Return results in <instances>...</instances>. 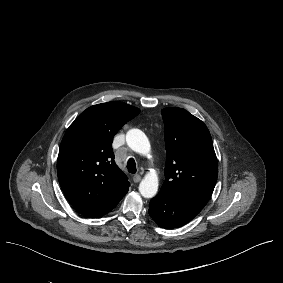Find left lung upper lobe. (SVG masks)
<instances>
[{
  "label": "left lung upper lobe",
  "instance_id": "1",
  "mask_svg": "<svg viewBox=\"0 0 283 283\" xmlns=\"http://www.w3.org/2000/svg\"><path fill=\"white\" fill-rule=\"evenodd\" d=\"M167 159L160 192L204 205L215 187L218 166L206 125L181 108L162 110Z\"/></svg>",
  "mask_w": 283,
  "mask_h": 283
}]
</instances>
